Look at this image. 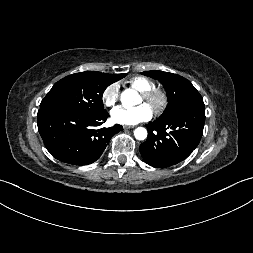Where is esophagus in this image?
<instances>
[{
  "label": "esophagus",
  "instance_id": "obj_1",
  "mask_svg": "<svg viewBox=\"0 0 253 253\" xmlns=\"http://www.w3.org/2000/svg\"><path fill=\"white\" fill-rule=\"evenodd\" d=\"M135 126H129V125H124L123 128L124 129H133Z\"/></svg>",
  "mask_w": 253,
  "mask_h": 253
}]
</instances>
